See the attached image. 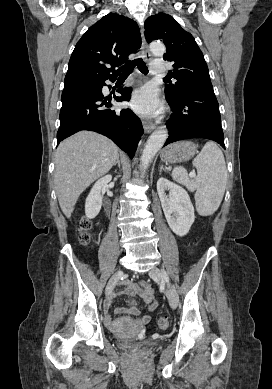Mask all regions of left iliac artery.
I'll list each match as a JSON object with an SVG mask.
<instances>
[{
  "label": "left iliac artery",
  "mask_w": 272,
  "mask_h": 389,
  "mask_svg": "<svg viewBox=\"0 0 272 389\" xmlns=\"http://www.w3.org/2000/svg\"><path fill=\"white\" fill-rule=\"evenodd\" d=\"M163 278L168 282L169 281V278H168V275L165 271H163Z\"/></svg>",
  "instance_id": "1"
}]
</instances>
